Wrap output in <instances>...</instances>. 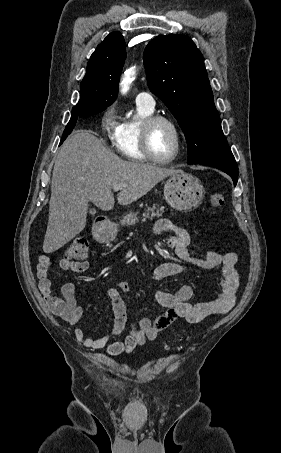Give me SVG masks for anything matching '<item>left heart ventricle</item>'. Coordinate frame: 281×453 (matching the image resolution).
<instances>
[{
    "label": "left heart ventricle",
    "mask_w": 281,
    "mask_h": 453,
    "mask_svg": "<svg viewBox=\"0 0 281 453\" xmlns=\"http://www.w3.org/2000/svg\"><path fill=\"white\" fill-rule=\"evenodd\" d=\"M174 135L164 123L159 124L153 133L152 144L155 154L161 158H168L173 152Z\"/></svg>",
    "instance_id": "1"
}]
</instances>
